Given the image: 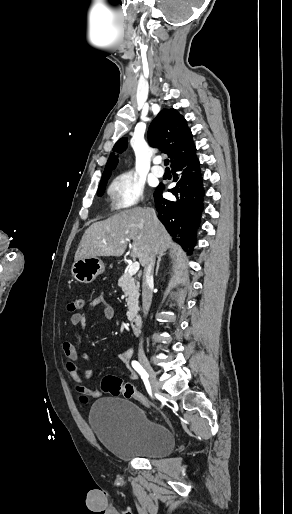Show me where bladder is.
<instances>
[{"instance_id": "1", "label": "bladder", "mask_w": 292, "mask_h": 514, "mask_svg": "<svg viewBox=\"0 0 292 514\" xmlns=\"http://www.w3.org/2000/svg\"><path fill=\"white\" fill-rule=\"evenodd\" d=\"M88 419L98 441L122 461L163 457L175 446L174 433L168 426L125 399L96 401Z\"/></svg>"}]
</instances>
